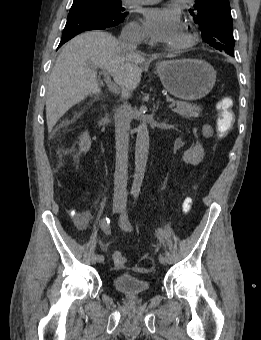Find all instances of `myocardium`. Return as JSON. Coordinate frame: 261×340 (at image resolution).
Masks as SVG:
<instances>
[{
    "label": "myocardium",
    "instance_id": "1",
    "mask_svg": "<svg viewBox=\"0 0 261 340\" xmlns=\"http://www.w3.org/2000/svg\"><path fill=\"white\" fill-rule=\"evenodd\" d=\"M182 34H183V39L178 43L171 44L169 46V49L173 51H183V50L191 48L195 44L196 38L192 32H190L187 29H183Z\"/></svg>",
    "mask_w": 261,
    "mask_h": 340
}]
</instances>
